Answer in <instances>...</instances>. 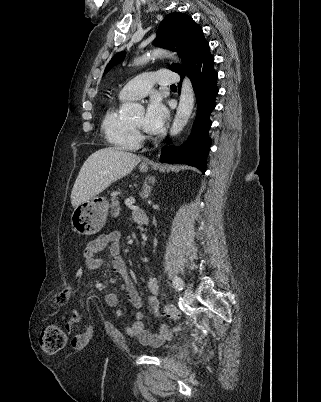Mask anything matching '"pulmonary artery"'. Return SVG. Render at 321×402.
<instances>
[{
	"label": "pulmonary artery",
	"mask_w": 321,
	"mask_h": 402,
	"mask_svg": "<svg viewBox=\"0 0 321 402\" xmlns=\"http://www.w3.org/2000/svg\"><path fill=\"white\" fill-rule=\"evenodd\" d=\"M180 82V76L169 69L148 72L137 76L119 92L121 100L138 99L148 94L154 85L167 86Z\"/></svg>",
	"instance_id": "obj_1"
}]
</instances>
